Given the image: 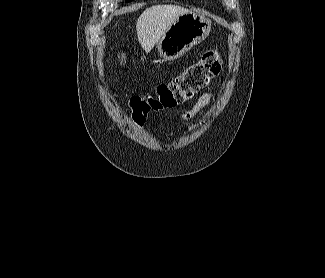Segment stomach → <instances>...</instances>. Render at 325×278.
<instances>
[{
  "label": "stomach",
  "instance_id": "0dacf381",
  "mask_svg": "<svg viewBox=\"0 0 325 278\" xmlns=\"http://www.w3.org/2000/svg\"><path fill=\"white\" fill-rule=\"evenodd\" d=\"M211 31V21L205 16L189 12L179 16L157 43L159 55L173 61L205 40Z\"/></svg>",
  "mask_w": 325,
  "mask_h": 278
}]
</instances>
